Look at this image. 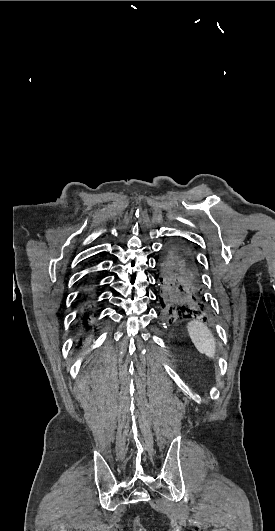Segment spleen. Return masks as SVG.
Segmentation results:
<instances>
[{
	"label": "spleen",
	"instance_id": "obj_1",
	"mask_svg": "<svg viewBox=\"0 0 275 531\" xmlns=\"http://www.w3.org/2000/svg\"><path fill=\"white\" fill-rule=\"evenodd\" d=\"M187 331L197 351L212 359L215 355L216 341L207 325L201 321H190Z\"/></svg>",
	"mask_w": 275,
	"mask_h": 531
}]
</instances>
